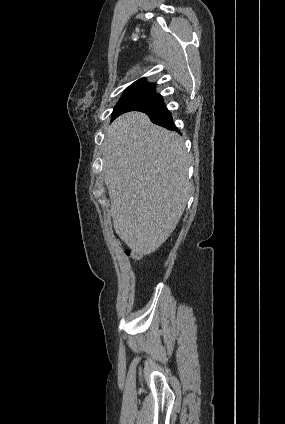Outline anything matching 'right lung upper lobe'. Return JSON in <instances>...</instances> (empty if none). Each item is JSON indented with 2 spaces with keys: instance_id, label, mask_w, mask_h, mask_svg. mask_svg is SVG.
<instances>
[{
  "instance_id": "obj_1",
  "label": "right lung upper lobe",
  "mask_w": 285,
  "mask_h": 424,
  "mask_svg": "<svg viewBox=\"0 0 285 424\" xmlns=\"http://www.w3.org/2000/svg\"><path fill=\"white\" fill-rule=\"evenodd\" d=\"M137 84H147V83L145 82V78H141L137 80L136 82H134L132 85H137Z\"/></svg>"
}]
</instances>
